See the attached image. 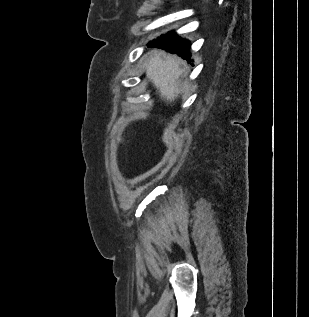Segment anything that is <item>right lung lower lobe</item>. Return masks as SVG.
<instances>
[{
    "mask_svg": "<svg viewBox=\"0 0 309 317\" xmlns=\"http://www.w3.org/2000/svg\"><path fill=\"white\" fill-rule=\"evenodd\" d=\"M148 47H157L166 50L170 53H176L183 59L191 61L190 59V43L177 37L176 33H168L161 36L159 40H154L149 43Z\"/></svg>",
    "mask_w": 309,
    "mask_h": 317,
    "instance_id": "obj_1",
    "label": "right lung lower lobe"
}]
</instances>
